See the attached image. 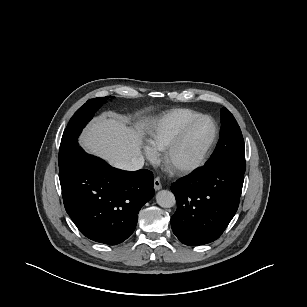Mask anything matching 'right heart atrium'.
I'll return each mask as SVG.
<instances>
[{
    "mask_svg": "<svg viewBox=\"0 0 307 307\" xmlns=\"http://www.w3.org/2000/svg\"><path fill=\"white\" fill-rule=\"evenodd\" d=\"M145 153L149 160H154L156 158V152L151 147H147Z\"/></svg>",
    "mask_w": 307,
    "mask_h": 307,
    "instance_id": "1",
    "label": "right heart atrium"
}]
</instances>
